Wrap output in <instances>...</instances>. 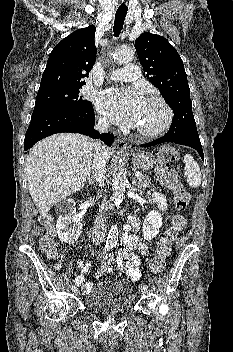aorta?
Listing matches in <instances>:
<instances>
[{
	"label": "aorta",
	"instance_id": "762f6f07",
	"mask_svg": "<svg viewBox=\"0 0 233 352\" xmlns=\"http://www.w3.org/2000/svg\"><path fill=\"white\" fill-rule=\"evenodd\" d=\"M134 58V52L129 47H120L114 52V60L118 63L129 62ZM127 185V172L122 165L115 166L112 176V190L114 204L119 207L125 193ZM118 227L113 225L109 231L107 241L114 243L118 238Z\"/></svg>",
	"mask_w": 233,
	"mask_h": 352
}]
</instances>
